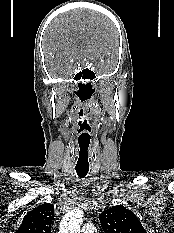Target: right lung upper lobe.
Segmentation results:
<instances>
[{
  "label": "right lung upper lobe",
  "instance_id": "right-lung-upper-lobe-1",
  "mask_svg": "<svg viewBox=\"0 0 174 233\" xmlns=\"http://www.w3.org/2000/svg\"><path fill=\"white\" fill-rule=\"evenodd\" d=\"M53 218V205L44 203L26 214L15 233H51Z\"/></svg>",
  "mask_w": 174,
  "mask_h": 233
}]
</instances>
